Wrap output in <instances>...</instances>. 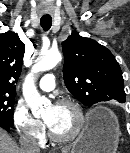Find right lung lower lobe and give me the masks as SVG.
<instances>
[{"label":"right lung lower lobe","mask_w":130,"mask_h":153,"mask_svg":"<svg viewBox=\"0 0 130 153\" xmlns=\"http://www.w3.org/2000/svg\"><path fill=\"white\" fill-rule=\"evenodd\" d=\"M0 127H2L3 129H5L6 131H10V129L12 128L10 125H8L7 123H5L2 120H0Z\"/></svg>","instance_id":"1"}]
</instances>
